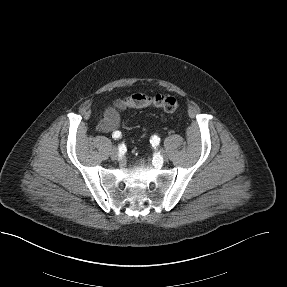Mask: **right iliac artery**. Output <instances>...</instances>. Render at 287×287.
Wrapping results in <instances>:
<instances>
[{"mask_svg": "<svg viewBox=\"0 0 287 287\" xmlns=\"http://www.w3.org/2000/svg\"><path fill=\"white\" fill-rule=\"evenodd\" d=\"M113 138H115V139H117V138H120L121 137V132H119V131H117V132H115V133H113ZM125 145L124 144H121L120 146H119V151H123V150H125Z\"/></svg>", "mask_w": 287, "mask_h": 287, "instance_id": "82829eb1", "label": "right iliac artery"}]
</instances>
